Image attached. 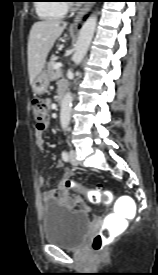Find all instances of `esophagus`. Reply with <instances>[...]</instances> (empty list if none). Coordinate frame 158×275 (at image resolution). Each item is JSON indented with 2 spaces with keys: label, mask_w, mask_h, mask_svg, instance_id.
Masks as SVG:
<instances>
[{
  "label": "esophagus",
  "mask_w": 158,
  "mask_h": 275,
  "mask_svg": "<svg viewBox=\"0 0 158 275\" xmlns=\"http://www.w3.org/2000/svg\"><path fill=\"white\" fill-rule=\"evenodd\" d=\"M93 3L91 2H86L84 6L78 11L73 23L72 27H77L79 22L82 20L83 16L92 8Z\"/></svg>",
  "instance_id": "obj_1"
}]
</instances>
